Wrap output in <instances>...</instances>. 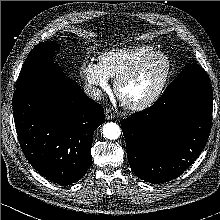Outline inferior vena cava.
Listing matches in <instances>:
<instances>
[{"label": "inferior vena cava", "mask_w": 220, "mask_h": 220, "mask_svg": "<svg viewBox=\"0 0 220 220\" xmlns=\"http://www.w3.org/2000/svg\"><path fill=\"white\" fill-rule=\"evenodd\" d=\"M84 92L93 100L100 101L102 99V91L95 86L85 85Z\"/></svg>", "instance_id": "1"}]
</instances>
